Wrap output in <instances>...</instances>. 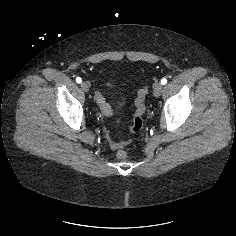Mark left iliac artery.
<instances>
[{"label":"left iliac artery","instance_id":"1","mask_svg":"<svg viewBox=\"0 0 236 236\" xmlns=\"http://www.w3.org/2000/svg\"><path fill=\"white\" fill-rule=\"evenodd\" d=\"M167 83V79L166 78H163L162 80H161V84L162 85H165Z\"/></svg>","mask_w":236,"mask_h":236}]
</instances>
